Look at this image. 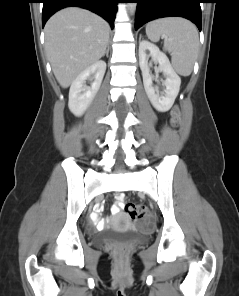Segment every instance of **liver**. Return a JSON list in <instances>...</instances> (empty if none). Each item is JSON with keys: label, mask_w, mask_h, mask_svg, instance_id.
Listing matches in <instances>:
<instances>
[{"label": "liver", "mask_w": 239, "mask_h": 296, "mask_svg": "<svg viewBox=\"0 0 239 296\" xmlns=\"http://www.w3.org/2000/svg\"><path fill=\"white\" fill-rule=\"evenodd\" d=\"M109 24L86 9L70 7L55 13L45 25V50L63 88L97 62L109 41Z\"/></svg>", "instance_id": "6515ba94"}]
</instances>
